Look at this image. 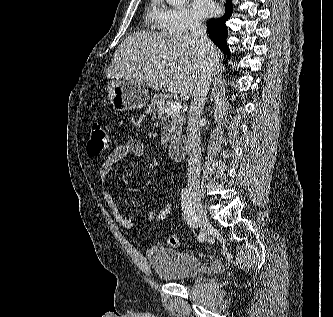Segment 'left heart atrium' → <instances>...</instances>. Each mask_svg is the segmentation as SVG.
Listing matches in <instances>:
<instances>
[{"label":"left heart atrium","instance_id":"obj_1","mask_svg":"<svg viewBox=\"0 0 333 317\" xmlns=\"http://www.w3.org/2000/svg\"><path fill=\"white\" fill-rule=\"evenodd\" d=\"M217 6L213 0H194L193 11L198 18H206L216 13Z\"/></svg>","mask_w":333,"mask_h":317}]
</instances>
